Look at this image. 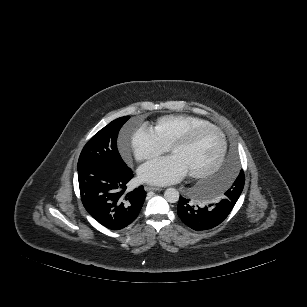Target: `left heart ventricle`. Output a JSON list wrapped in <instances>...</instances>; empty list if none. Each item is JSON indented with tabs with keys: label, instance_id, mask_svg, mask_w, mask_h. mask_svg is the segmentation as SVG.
Instances as JSON below:
<instances>
[{
	"label": "left heart ventricle",
	"instance_id": "left-heart-ventricle-1",
	"mask_svg": "<svg viewBox=\"0 0 307 307\" xmlns=\"http://www.w3.org/2000/svg\"><path fill=\"white\" fill-rule=\"evenodd\" d=\"M221 149L219 134L207 129L188 145L175 148L171 154L178 158L187 172H199L213 167Z\"/></svg>",
	"mask_w": 307,
	"mask_h": 307
}]
</instances>
